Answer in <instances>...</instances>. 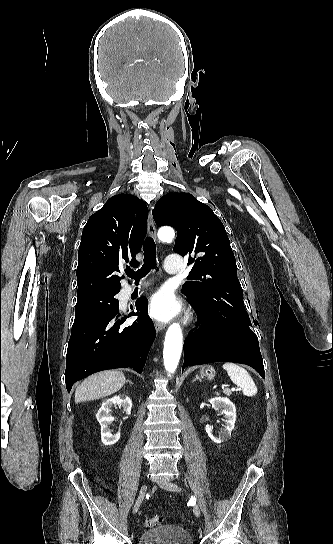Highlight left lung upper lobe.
I'll return each mask as SVG.
<instances>
[{
  "label": "left lung upper lobe",
  "mask_w": 333,
  "mask_h": 544,
  "mask_svg": "<svg viewBox=\"0 0 333 544\" xmlns=\"http://www.w3.org/2000/svg\"><path fill=\"white\" fill-rule=\"evenodd\" d=\"M152 213L158 226L177 230L173 250L182 256L189 254L188 264H194L182 293L207 314L249 328L251 321L229 238L211 208L189 193H169Z\"/></svg>",
  "instance_id": "left-lung-upper-lobe-1"
}]
</instances>
